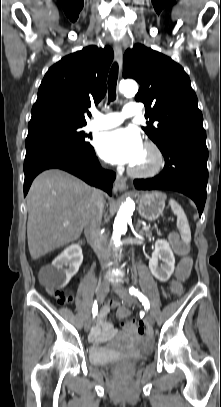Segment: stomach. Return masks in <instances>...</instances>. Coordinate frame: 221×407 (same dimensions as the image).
Here are the masks:
<instances>
[{"instance_id":"stomach-1","label":"stomach","mask_w":221,"mask_h":407,"mask_svg":"<svg viewBox=\"0 0 221 407\" xmlns=\"http://www.w3.org/2000/svg\"><path fill=\"white\" fill-rule=\"evenodd\" d=\"M165 207V197L160 192L143 193L139 200L138 211L148 221L159 218Z\"/></svg>"}]
</instances>
